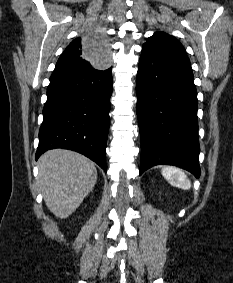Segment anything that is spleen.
<instances>
[{
  "label": "spleen",
  "mask_w": 233,
  "mask_h": 283,
  "mask_svg": "<svg viewBox=\"0 0 233 283\" xmlns=\"http://www.w3.org/2000/svg\"><path fill=\"white\" fill-rule=\"evenodd\" d=\"M163 177L174 187L188 190L191 188V182L187 178L186 174L175 167L166 166L162 169Z\"/></svg>",
  "instance_id": "1"
}]
</instances>
